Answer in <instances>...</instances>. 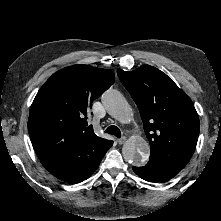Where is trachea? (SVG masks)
Returning <instances> with one entry per match:
<instances>
[{
    "label": "trachea",
    "mask_w": 221,
    "mask_h": 221,
    "mask_svg": "<svg viewBox=\"0 0 221 221\" xmlns=\"http://www.w3.org/2000/svg\"><path fill=\"white\" fill-rule=\"evenodd\" d=\"M105 132L108 133V134L114 135V136H116V137H118V138L121 137V132H120L119 128H118L117 126H114V125L109 126V127L105 130Z\"/></svg>",
    "instance_id": "3493384b"
}]
</instances>
